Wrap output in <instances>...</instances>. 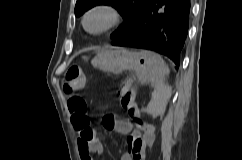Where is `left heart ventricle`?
<instances>
[{"mask_svg": "<svg viewBox=\"0 0 242 160\" xmlns=\"http://www.w3.org/2000/svg\"><path fill=\"white\" fill-rule=\"evenodd\" d=\"M109 20L108 13L104 11H98L93 13L87 21V26L90 30L96 31L106 25Z\"/></svg>", "mask_w": 242, "mask_h": 160, "instance_id": "obj_1", "label": "left heart ventricle"}]
</instances>
